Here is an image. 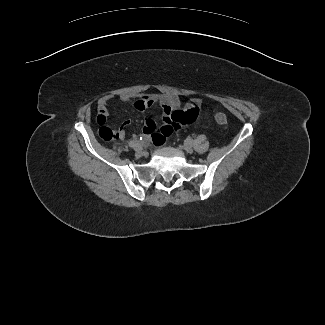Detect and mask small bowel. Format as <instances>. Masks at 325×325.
<instances>
[{"mask_svg": "<svg viewBox=\"0 0 325 325\" xmlns=\"http://www.w3.org/2000/svg\"><path fill=\"white\" fill-rule=\"evenodd\" d=\"M113 98L112 95H105L98 101L97 124L102 127H107L106 122L108 119V103ZM118 100L123 103L132 102L135 110L144 114L146 110L158 104L162 111V128L157 131V122L152 117H145L143 121V132L150 136L156 144H162L166 137L173 131L178 130L183 126L192 124L199 115V108L201 100L198 98L192 99L186 104L184 110H178L181 102L180 97L176 94H140L129 95L120 94ZM131 124L130 119L124 120L121 127H119V138L125 135L124 128Z\"/></svg>", "mask_w": 325, "mask_h": 325, "instance_id": "1", "label": "small bowel"}]
</instances>
